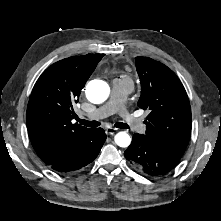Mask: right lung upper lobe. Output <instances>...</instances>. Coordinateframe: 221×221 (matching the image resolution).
I'll return each mask as SVG.
<instances>
[{"label":"right lung upper lobe","mask_w":221,"mask_h":221,"mask_svg":"<svg viewBox=\"0 0 221 221\" xmlns=\"http://www.w3.org/2000/svg\"><path fill=\"white\" fill-rule=\"evenodd\" d=\"M104 54L60 60L47 68L32 90L26 114L28 134L39 158L48 166L80 145L90 128L72 123L73 106Z\"/></svg>","instance_id":"cb5924a9"}]
</instances>
